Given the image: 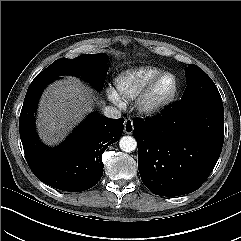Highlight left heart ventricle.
I'll use <instances>...</instances> for the list:
<instances>
[{
	"label": "left heart ventricle",
	"mask_w": 241,
	"mask_h": 241,
	"mask_svg": "<svg viewBox=\"0 0 241 241\" xmlns=\"http://www.w3.org/2000/svg\"><path fill=\"white\" fill-rule=\"evenodd\" d=\"M173 87V81L171 78H164L157 86L155 90V97L162 98L166 96Z\"/></svg>",
	"instance_id": "1"
}]
</instances>
